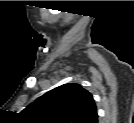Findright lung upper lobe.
<instances>
[{
  "mask_svg": "<svg viewBox=\"0 0 134 123\" xmlns=\"http://www.w3.org/2000/svg\"><path fill=\"white\" fill-rule=\"evenodd\" d=\"M22 114L33 123H97L94 99L76 83L61 85L28 105Z\"/></svg>",
  "mask_w": 134,
  "mask_h": 123,
  "instance_id": "cb5924a9",
  "label": "right lung upper lobe"
}]
</instances>
